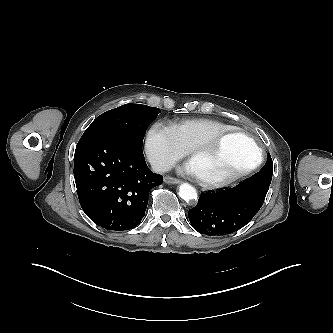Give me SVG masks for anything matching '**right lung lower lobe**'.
<instances>
[{"label": "right lung lower lobe", "mask_w": 333, "mask_h": 333, "mask_svg": "<svg viewBox=\"0 0 333 333\" xmlns=\"http://www.w3.org/2000/svg\"><path fill=\"white\" fill-rule=\"evenodd\" d=\"M74 177L86 215L108 230L140 224L149 190L163 181L146 165L142 146L111 137L80 139L74 154Z\"/></svg>", "instance_id": "98d812e1"}]
</instances>
